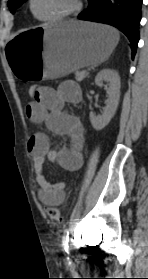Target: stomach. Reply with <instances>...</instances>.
I'll return each mask as SVG.
<instances>
[{"mask_svg":"<svg viewBox=\"0 0 148 279\" xmlns=\"http://www.w3.org/2000/svg\"><path fill=\"white\" fill-rule=\"evenodd\" d=\"M119 40L108 26L82 22L45 24L24 30L7 44L6 59L16 82H53L108 59Z\"/></svg>","mask_w":148,"mask_h":279,"instance_id":"obj_1","label":"stomach"}]
</instances>
